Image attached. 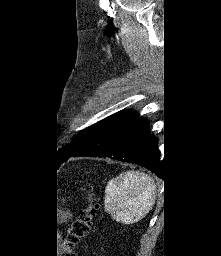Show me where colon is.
<instances>
[{
    "label": "colon",
    "mask_w": 221,
    "mask_h": 256,
    "mask_svg": "<svg viewBox=\"0 0 221 256\" xmlns=\"http://www.w3.org/2000/svg\"><path fill=\"white\" fill-rule=\"evenodd\" d=\"M85 191L87 193L88 205L79 211L77 220L69 229L64 242V256H75L72 248L90 232L92 220L96 214L97 206L92 189L85 187Z\"/></svg>",
    "instance_id": "colon-1"
}]
</instances>
